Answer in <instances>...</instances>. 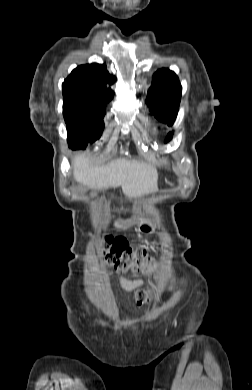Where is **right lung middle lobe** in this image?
<instances>
[{
  "label": "right lung middle lobe",
  "mask_w": 252,
  "mask_h": 390,
  "mask_svg": "<svg viewBox=\"0 0 252 390\" xmlns=\"http://www.w3.org/2000/svg\"><path fill=\"white\" fill-rule=\"evenodd\" d=\"M68 133V142L72 147H85L99 139L103 128L105 108L82 107L63 109Z\"/></svg>",
  "instance_id": "obj_1"
}]
</instances>
